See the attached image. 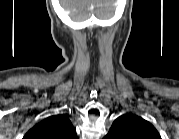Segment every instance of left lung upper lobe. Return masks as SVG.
<instances>
[{
  "label": "left lung upper lobe",
  "mask_w": 179,
  "mask_h": 139,
  "mask_svg": "<svg viewBox=\"0 0 179 139\" xmlns=\"http://www.w3.org/2000/svg\"><path fill=\"white\" fill-rule=\"evenodd\" d=\"M106 139H160L154 126L134 114H124L112 124Z\"/></svg>",
  "instance_id": "5c2ea615"
}]
</instances>
